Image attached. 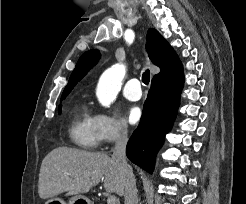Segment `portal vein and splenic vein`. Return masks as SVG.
I'll return each mask as SVG.
<instances>
[{"label": "portal vein and splenic vein", "mask_w": 246, "mask_h": 204, "mask_svg": "<svg viewBox=\"0 0 246 204\" xmlns=\"http://www.w3.org/2000/svg\"><path fill=\"white\" fill-rule=\"evenodd\" d=\"M107 204H117V198L115 196H109L107 199Z\"/></svg>", "instance_id": "obj_1"}]
</instances>
